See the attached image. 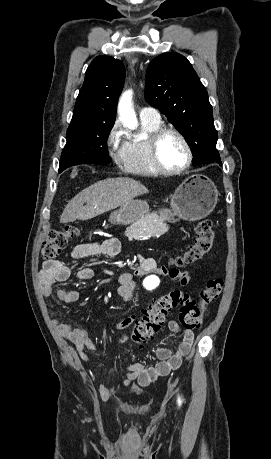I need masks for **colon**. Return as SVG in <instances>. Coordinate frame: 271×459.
I'll return each instance as SVG.
<instances>
[{
    "instance_id": "5ec220e1",
    "label": "colon",
    "mask_w": 271,
    "mask_h": 459,
    "mask_svg": "<svg viewBox=\"0 0 271 459\" xmlns=\"http://www.w3.org/2000/svg\"><path fill=\"white\" fill-rule=\"evenodd\" d=\"M193 229L196 238L183 253L171 261L174 267L193 264L212 250L215 230L211 220L201 219L193 225ZM76 234L77 230L71 226L51 231L43 243L41 257L44 260L57 258ZM222 288L221 279L209 280L206 287L200 292L199 302L180 290H173L161 296L143 311L142 317L132 330V341L140 345L151 339L161 330L167 316L175 308H179V319L184 328H199L203 322L207 305L221 294Z\"/></svg>"
}]
</instances>
